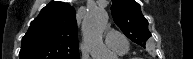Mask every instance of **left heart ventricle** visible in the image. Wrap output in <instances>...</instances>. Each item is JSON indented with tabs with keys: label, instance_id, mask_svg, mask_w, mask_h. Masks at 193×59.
Segmentation results:
<instances>
[{
	"label": "left heart ventricle",
	"instance_id": "b2bd125f",
	"mask_svg": "<svg viewBox=\"0 0 193 59\" xmlns=\"http://www.w3.org/2000/svg\"><path fill=\"white\" fill-rule=\"evenodd\" d=\"M109 51H111V52H116L115 50H113V49H108Z\"/></svg>",
	"mask_w": 193,
	"mask_h": 59
}]
</instances>
